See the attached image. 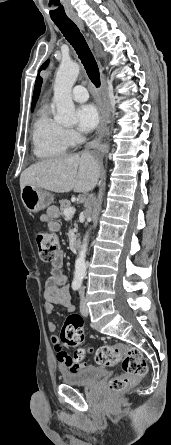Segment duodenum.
<instances>
[{"mask_svg":"<svg viewBox=\"0 0 171 445\" xmlns=\"http://www.w3.org/2000/svg\"><path fill=\"white\" fill-rule=\"evenodd\" d=\"M81 244H82V241H81L80 238H76V239L74 240V242H73V246H74V248H76V249H79V248L81 247Z\"/></svg>","mask_w":171,"mask_h":445,"instance_id":"410a0bca","label":"duodenum"}]
</instances>
